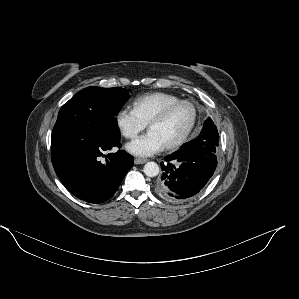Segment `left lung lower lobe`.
<instances>
[{"instance_id": "obj_1", "label": "left lung lower lobe", "mask_w": 299, "mask_h": 299, "mask_svg": "<svg viewBox=\"0 0 299 299\" xmlns=\"http://www.w3.org/2000/svg\"><path fill=\"white\" fill-rule=\"evenodd\" d=\"M199 135L177 152L164 158L163 174L157 182V194L168 201H182L196 195L212 177L216 166L213 144Z\"/></svg>"}]
</instances>
